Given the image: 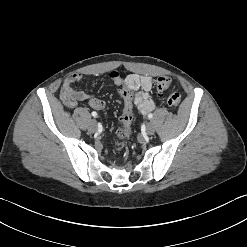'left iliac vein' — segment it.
<instances>
[{"label": "left iliac vein", "mask_w": 247, "mask_h": 247, "mask_svg": "<svg viewBox=\"0 0 247 247\" xmlns=\"http://www.w3.org/2000/svg\"><path fill=\"white\" fill-rule=\"evenodd\" d=\"M154 132H155V127H154L153 123H148V124L146 125V133H147L148 135H153Z\"/></svg>", "instance_id": "1"}]
</instances>
